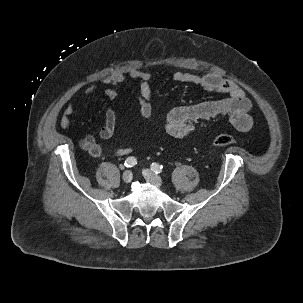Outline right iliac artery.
Here are the masks:
<instances>
[{
	"label": "right iliac artery",
	"mask_w": 303,
	"mask_h": 303,
	"mask_svg": "<svg viewBox=\"0 0 303 303\" xmlns=\"http://www.w3.org/2000/svg\"><path fill=\"white\" fill-rule=\"evenodd\" d=\"M137 164V159L135 157H128L126 160H125V163L124 165L128 168L130 167H133Z\"/></svg>",
	"instance_id": "right-iliac-artery-1"
}]
</instances>
